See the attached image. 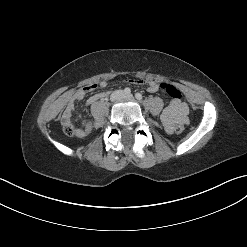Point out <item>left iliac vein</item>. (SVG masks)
Masks as SVG:
<instances>
[{
    "mask_svg": "<svg viewBox=\"0 0 247 247\" xmlns=\"http://www.w3.org/2000/svg\"><path fill=\"white\" fill-rule=\"evenodd\" d=\"M123 96H124V98H127V99H132L133 98L132 94H124Z\"/></svg>",
    "mask_w": 247,
    "mask_h": 247,
    "instance_id": "left-iliac-vein-1",
    "label": "left iliac vein"
}]
</instances>
